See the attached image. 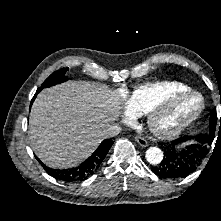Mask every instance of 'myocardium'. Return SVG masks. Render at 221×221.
I'll return each instance as SVG.
<instances>
[{"label":"myocardium","mask_w":221,"mask_h":221,"mask_svg":"<svg viewBox=\"0 0 221 221\" xmlns=\"http://www.w3.org/2000/svg\"><path fill=\"white\" fill-rule=\"evenodd\" d=\"M190 98H197L198 105L179 122L169 125L164 122L166 114ZM205 101L200 93L187 91L166 97L157 102L147 113V125L149 130L156 136L170 139L180 135L190 127L202 114Z\"/></svg>","instance_id":"obj_1"}]
</instances>
